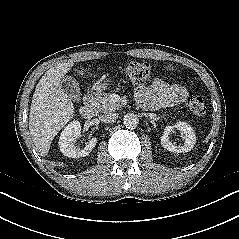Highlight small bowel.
<instances>
[{
    "instance_id": "c3829d8e",
    "label": "small bowel",
    "mask_w": 239,
    "mask_h": 239,
    "mask_svg": "<svg viewBox=\"0 0 239 239\" xmlns=\"http://www.w3.org/2000/svg\"><path fill=\"white\" fill-rule=\"evenodd\" d=\"M188 95L180 85H171L160 78L152 80L149 86L140 85L136 88L139 104L147 109H159L182 103Z\"/></svg>"
}]
</instances>
